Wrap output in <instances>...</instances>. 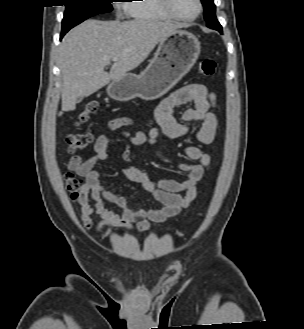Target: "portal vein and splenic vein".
Segmentation results:
<instances>
[{"label":"portal vein and splenic vein","instance_id":"18ae733b","mask_svg":"<svg viewBox=\"0 0 304 329\" xmlns=\"http://www.w3.org/2000/svg\"><path fill=\"white\" fill-rule=\"evenodd\" d=\"M112 60H113V61H117V60H118V58H116V57H115V58H113Z\"/></svg>","mask_w":304,"mask_h":329}]
</instances>
